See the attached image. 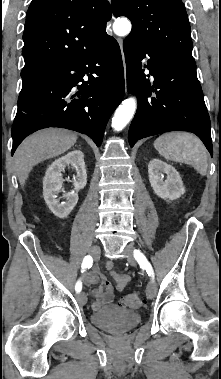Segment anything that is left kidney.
<instances>
[{
  "mask_svg": "<svg viewBox=\"0 0 221 379\" xmlns=\"http://www.w3.org/2000/svg\"><path fill=\"white\" fill-rule=\"evenodd\" d=\"M148 173L154 193L160 198L175 200L185 193L181 176L173 166L154 158L148 164ZM162 173L167 175L165 180Z\"/></svg>",
  "mask_w": 221,
  "mask_h": 379,
  "instance_id": "obj_1",
  "label": "left kidney"
}]
</instances>
